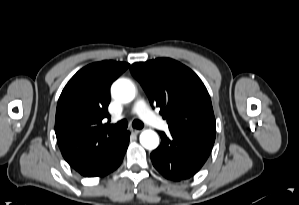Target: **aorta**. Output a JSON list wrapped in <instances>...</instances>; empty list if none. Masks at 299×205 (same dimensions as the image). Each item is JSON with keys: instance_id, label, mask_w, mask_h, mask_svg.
<instances>
[{"instance_id": "obj_1", "label": "aorta", "mask_w": 299, "mask_h": 205, "mask_svg": "<svg viewBox=\"0 0 299 205\" xmlns=\"http://www.w3.org/2000/svg\"><path fill=\"white\" fill-rule=\"evenodd\" d=\"M111 93L118 101L128 103L135 97V87L127 79H118L113 83ZM140 143L144 148L153 150L159 145V137L152 130H144L140 134Z\"/></svg>"}]
</instances>
